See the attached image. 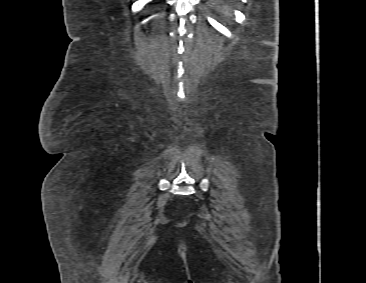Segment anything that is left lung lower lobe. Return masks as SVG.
<instances>
[{"instance_id":"0a47b994","label":"left lung lower lobe","mask_w":366,"mask_h":283,"mask_svg":"<svg viewBox=\"0 0 366 283\" xmlns=\"http://www.w3.org/2000/svg\"><path fill=\"white\" fill-rule=\"evenodd\" d=\"M215 1L221 7H227V6H230L232 1H234V0H215Z\"/></svg>"}]
</instances>
